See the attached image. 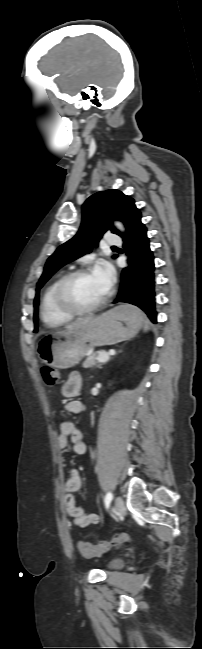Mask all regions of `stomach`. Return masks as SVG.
<instances>
[{"label":"stomach","mask_w":202,"mask_h":649,"mask_svg":"<svg viewBox=\"0 0 202 649\" xmlns=\"http://www.w3.org/2000/svg\"><path fill=\"white\" fill-rule=\"evenodd\" d=\"M142 321L134 307L118 306L80 327L46 335L37 344L40 360L57 369L77 364L91 347L112 345L136 335Z\"/></svg>","instance_id":"0dacf381"}]
</instances>
